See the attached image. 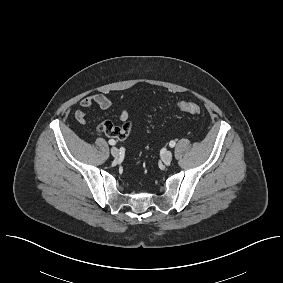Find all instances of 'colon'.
Masks as SVG:
<instances>
[{
  "mask_svg": "<svg viewBox=\"0 0 283 283\" xmlns=\"http://www.w3.org/2000/svg\"><path fill=\"white\" fill-rule=\"evenodd\" d=\"M177 108L179 111L188 113L191 115H199L202 112L201 107L193 102H180L177 105ZM97 130L99 133L111 136V137H117L119 134V129L117 126H114L111 122H103L98 125Z\"/></svg>",
  "mask_w": 283,
  "mask_h": 283,
  "instance_id": "obj_1",
  "label": "colon"
}]
</instances>
